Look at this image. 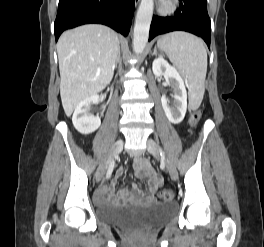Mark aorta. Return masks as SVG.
Masks as SVG:
<instances>
[{"mask_svg":"<svg viewBox=\"0 0 264 247\" xmlns=\"http://www.w3.org/2000/svg\"><path fill=\"white\" fill-rule=\"evenodd\" d=\"M153 9L154 0H141L136 14L133 33V51L136 54L143 53L148 42Z\"/></svg>","mask_w":264,"mask_h":247,"instance_id":"762f6f07","label":"aorta"}]
</instances>
